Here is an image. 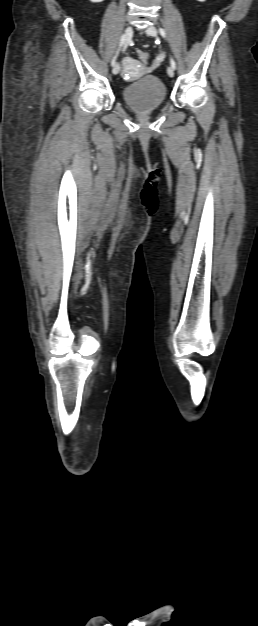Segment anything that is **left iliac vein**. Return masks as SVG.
I'll return each mask as SVG.
<instances>
[{
	"mask_svg": "<svg viewBox=\"0 0 258 626\" xmlns=\"http://www.w3.org/2000/svg\"><path fill=\"white\" fill-rule=\"evenodd\" d=\"M146 34H148L150 36H154V37L157 36V29H156V27L155 26L147 27ZM167 74L170 77H173L174 76V69L172 67H168L167 68Z\"/></svg>",
	"mask_w": 258,
	"mask_h": 626,
	"instance_id": "left-iliac-vein-1",
	"label": "left iliac vein"
}]
</instances>
